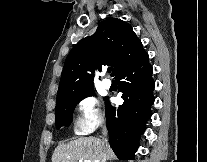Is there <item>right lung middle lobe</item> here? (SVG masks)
Listing matches in <instances>:
<instances>
[{
  "instance_id": "1",
  "label": "right lung middle lobe",
  "mask_w": 207,
  "mask_h": 162,
  "mask_svg": "<svg viewBox=\"0 0 207 162\" xmlns=\"http://www.w3.org/2000/svg\"><path fill=\"white\" fill-rule=\"evenodd\" d=\"M94 94V90L74 95L66 96L57 99L56 101V127L59 129L61 126H68L72 121L73 111L75 106L85 97ZM107 101V98H105Z\"/></svg>"
}]
</instances>
